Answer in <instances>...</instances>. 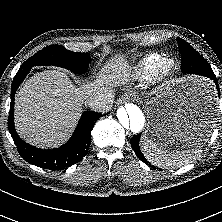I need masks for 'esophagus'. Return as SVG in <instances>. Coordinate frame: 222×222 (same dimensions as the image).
<instances>
[{"instance_id": "1", "label": "esophagus", "mask_w": 222, "mask_h": 222, "mask_svg": "<svg viewBox=\"0 0 222 222\" xmlns=\"http://www.w3.org/2000/svg\"><path fill=\"white\" fill-rule=\"evenodd\" d=\"M124 101H125V98H119L117 100V104H122V103H124Z\"/></svg>"}]
</instances>
